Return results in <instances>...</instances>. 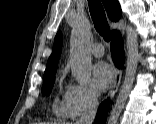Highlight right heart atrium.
I'll return each mask as SVG.
<instances>
[{
  "label": "right heart atrium",
  "mask_w": 156,
  "mask_h": 124,
  "mask_svg": "<svg viewBox=\"0 0 156 124\" xmlns=\"http://www.w3.org/2000/svg\"><path fill=\"white\" fill-rule=\"evenodd\" d=\"M98 94L91 85L70 83L65 90L63 99L64 114L77 118L94 110Z\"/></svg>",
  "instance_id": "obj_1"
}]
</instances>
